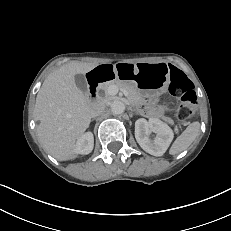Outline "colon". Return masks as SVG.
<instances>
[{
    "mask_svg": "<svg viewBox=\"0 0 231 231\" xmlns=\"http://www.w3.org/2000/svg\"><path fill=\"white\" fill-rule=\"evenodd\" d=\"M170 92L179 97L180 104L177 108V118L180 123H186L197 108V96L193 83L179 70L173 74Z\"/></svg>",
    "mask_w": 231,
    "mask_h": 231,
    "instance_id": "obj_1",
    "label": "colon"
}]
</instances>
